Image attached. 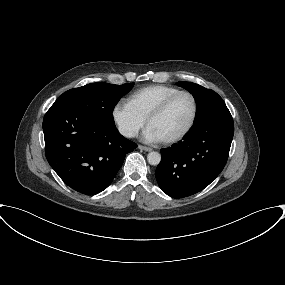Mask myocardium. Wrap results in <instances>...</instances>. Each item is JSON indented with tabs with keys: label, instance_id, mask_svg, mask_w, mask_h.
<instances>
[{
	"label": "myocardium",
	"instance_id": "f54148a6",
	"mask_svg": "<svg viewBox=\"0 0 285 285\" xmlns=\"http://www.w3.org/2000/svg\"><path fill=\"white\" fill-rule=\"evenodd\" d=\"M182 95H186L189 96L192 100L193 103V113H192V117L190 119V122L188 123V125L186 126V128L179 133L178 135L166 139V140H162L161 143L164 145H173L175 143H178L179 141H181L182 139H184L193 129L197 117H198V112H199V106H198V101L197 98L195 97V95L190 92V91H186V90H180L174 94H172L171 96L167 97L162 103H160L147 117L146 119V125L147 127L149 126V124L151 123V121H153L154 119L158 118L159 116H161L168 108L169 106L174 102L175 99H177L179 96Z\"/></svg>",
	"mask_w": 285,
	"mask_h": 285
}]
</instances>
